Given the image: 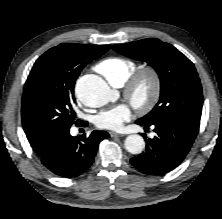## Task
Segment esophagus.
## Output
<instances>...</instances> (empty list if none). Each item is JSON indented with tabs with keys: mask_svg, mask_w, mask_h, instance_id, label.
<instances>
[{
	"mask_svg": "<svg viewBox=\"0 0 222 219\" xmlns=\"http://www.w3.org/2000/svg\"><path fill=\"white\" fill-rule=\"evenodd\" d=\"M109 134H110V136L113 137V138H114V137H123V136H124V135H122V134H118V133H115V132H110Z\"/></svg>",
	"mask_w": 222,
	"mask_h": 219,
	"instance_id": "1",
	"label": "esophagus"
}]
</instances>
